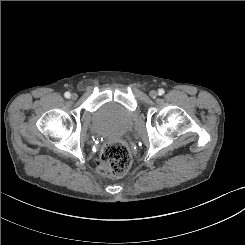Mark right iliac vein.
<instances>
[{"label": "right iliac vein", "mask_w": 245, "mask_h": 245, "mask_svg": "<svg viewBox=\"0 0 245 245\" xmlns=\"http://www.w3.org/2000/svg\"><path fill=\"white\" fill-rule=\"evenodd\" d=\"M77 97H78V95H77L76 93H73V94L71 95V99H72V100H76Z\"/></svg>", "instance_id": "obj_1"}]
</instances>
